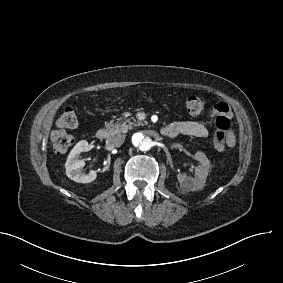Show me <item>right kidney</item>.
Instances as JSON below:
<instances>
[{"mask_svg": "<svg viewBox=\"0 0 283 283\" xmlns=\"http://www.w3.org/2000/svg\"><path fill=\"white\" fill-rule=\"evenodd\" d=\"M88 149V142L86 140H81L73 147L67 157V161L65 163L66 175L75 182L90 183L97 177L96 171L94 170H91L88 174L82 172L85 162L83 160H79V155L82 152L88 151Z\"/></svg>", "mask_w": 283, "mask_h": 283, "instance_id": "ca27d5eb", "label": "right kidney"}]
</instances>
